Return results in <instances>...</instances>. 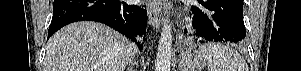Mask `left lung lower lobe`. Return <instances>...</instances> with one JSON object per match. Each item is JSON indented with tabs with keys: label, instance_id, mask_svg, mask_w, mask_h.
<instances>
[{
	"label": "left lung lower lobe",
	"instance_id": "1",
	"mask_svg": "<svg viewBox=\"0 0 301 71\" xmlns=\"http://www.w3.org/2000/svg\"><path fill=\"white\" fill-rule=\"evenodd\" d=\"M192 6L193 27L201 42L228 41L240 43L245 39L243 0H198Z\"/></svg>",
	"mask_w": 301,
	"mask_h": 71
}]
</instances>
